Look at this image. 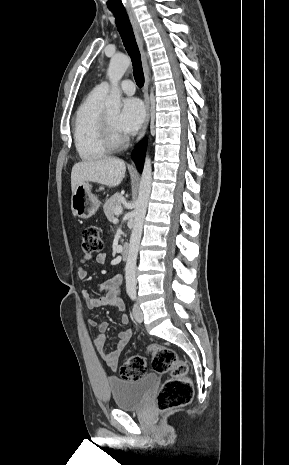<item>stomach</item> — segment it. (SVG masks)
Returning <instances> with one entry per match:
<instances>
[{
    "label": "stomach",
    "instance_id": "1",
    "mask_svg": "<svg viewBox=\"0 0 289 465\" xmlns=\"http://www.w3.org/2000/svg\"><path fill=\"white\" fill-rule=\"evenodd\" d=\"M101 202L92 192V186L88 182L79 184L71 197V209L74 215L87 219L92 217L100 207Z\"/></svg>",
    "mask_w": 289,
    "mask_h": 465
}]
</instances>
